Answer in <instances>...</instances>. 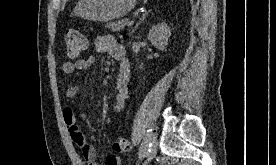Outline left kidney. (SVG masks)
Listing matches in <instances>:
<instances>
[{"mask_svg":"<svg viewBox=\"0 0 276 165\" xmlns=\"http://www.w3.org/2000/svg\"><path fill=\"white\" fill-rule=\"evenodd\" d=\"M170 35V27L167 26L165 22H162L150 29L148 33V40L159 50L166 51Z\"/></svg>","mask_w":276,"mask_h":165,"instance_id":"5707ae66","label":"left kidney"}]
</instances>
